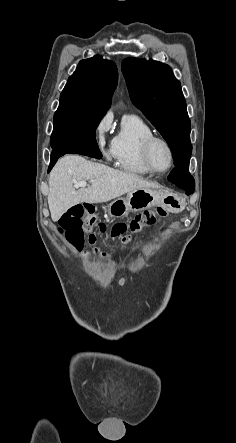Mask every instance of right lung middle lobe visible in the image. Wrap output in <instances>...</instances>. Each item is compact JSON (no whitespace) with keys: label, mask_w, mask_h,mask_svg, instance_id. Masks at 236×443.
Listing matches in <instances>:
<instances>
[{"label":"right lung middle lobe","mask_w":236,"mask_h":443,"mask_svg":"<svg viewBox=\"0 0 236 443\" xmlns=\"http://www.w3.org/2000/svg\"><path fill=\"white\" fill-rule=\"evenodd\" d=\"M105 112H84L58 108L51 135L52 149L96 145V128Z\"/></svg>","instance_id":"right-lung-middle-lobe-1"}]
</instances>
